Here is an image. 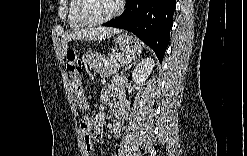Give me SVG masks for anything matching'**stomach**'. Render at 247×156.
Returning <instances> with one entry per match:
<instances>
[{
    "instance_id": "0dacf381",
    "label": "stomach",
    "mask_w": 247,
    "mask_h": 156,
    "mask_svg": "<svg viewBox=\"0 0 247 156\" xmlns=\"http://www.w3.org/2000/svg\"><path fill=\"white\" fill-rule=\"evenodd\" d=\"M115 43L118 44V46L123 50L125 54L131 56L139 54L142 50L141 43L139 42V40L133 35L126 32L120 33L115 38ZM85 57V60L90 69L93 71H99V69L103 65L102 55L94 51H88Z\"/></svg>"
}]
</instances>
